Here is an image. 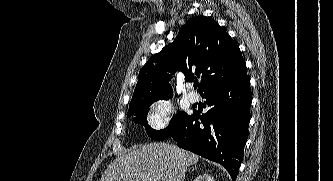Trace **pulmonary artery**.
<instances>
[{
    "label": "pulmonary artery",
    "mask_w": 333,
    "mask_h": 181,
    "mask_svg": "<svg viewBox=\"0 0 333 181\" xmlns=\"http://www.w3.org/2000/svg\"><path fill=\"white\" fill-rule=\"evenodd\" d=\"M187 99L190 103H195L198 100V96L195 93L191 92L187 95Z\"/></svg>",
    "instance_id": "obj_1"
}]
</instances>
